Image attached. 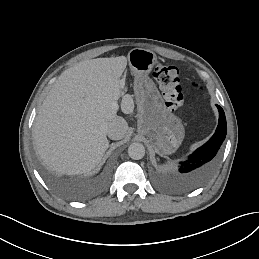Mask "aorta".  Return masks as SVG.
<instances>
[{
  "mask_svg": "<svg viewBox=\"0 0 259 259\" xmlns=\"http://www.w3.org/2000/svg\"><path fill=\"white\" fill-rule=\"evenodd\" d=\"M128 155L133 160L142 159L145 155V148L143 144L135 142L128 147Z\"/></svg>",
  "mask_w": 259,
  "mask_h": 259,
  "instance_id": "obj_1",
  "label": "aorta"
}]
</instances>
